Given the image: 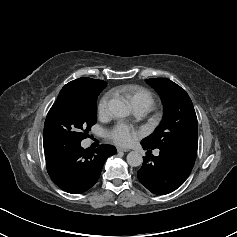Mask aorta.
Masks as SVG:
<instances>
[{
    "mask_svg": "<svg viewBox=\"0 0 237 237\" xmlns=\"http://www.w3.org/2000/svg\"><path fill=\"white\" fill-rule=\"evenodd\" d=\"M109 111L117 118L129 116L130 109L128 105L120 99H111L109 101ZM143 162L142 155L137 151H131L127 155V163L132 167L140 166Z\"/></svg>",
    "mask_w": 237,
    "mask_h": 237,
    "instance_id": "762f6f07",
    "label": "aorta"
}]
</instances>
